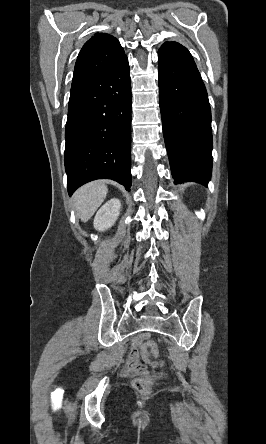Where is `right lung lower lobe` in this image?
Instances as JSON below:
<instances>
[{
	"label": "right lung lower lobe",
	"mask_w": 266,
	"mask_h": 444,
	"mask_svg": "<svg viewBox=\"0 0 266 444\" xmlns=\"http://www.w3.org/2000/svg\"><path fill=\"white\" fill-rule=\"evenodd\" d=\"M65 139L69 195L95 179H112L130 190L131 82L126 55L70 95Z\"/></svg>",
	"instance_id": "right-lung-lower-lobe-1"
}]
</instances>
